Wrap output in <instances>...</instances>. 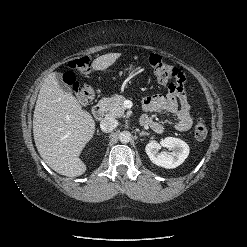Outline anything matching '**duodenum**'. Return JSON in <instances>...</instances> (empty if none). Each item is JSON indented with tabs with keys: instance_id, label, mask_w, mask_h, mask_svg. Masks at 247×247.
<instances>
[{
	"instance_id": "410a0bca",
	"label": "duodenum",
	"mask_w": 247,
	"mask_h": 247,
	"mask_svg": "<svg viewBox=\"0 0 247 247\" xmlns=\"http://www.w3.org/2000/svg\"><path fill=\"white\" fill-rule=\"evenodd\" d=\"M92 113L95 119L101 120L105 114L104 104L101 101L97 102L93 107ZM140 123L144 125V123L141 120Z\"/></svg>"
}]
</instances>
